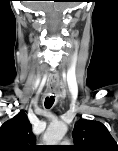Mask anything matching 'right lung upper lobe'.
<instances>
[{"label": "right lung upper lobe", "mask_w": 118, "mask_h": 151, "mask_svg": "<svg viewBox=\"0 0 118 151\" xmlns=\"http://www.w3.org/2000/svg\"><path fill=\"white\" fill-rule=\"evenodd\" d=\"M35 136L24 111L0 127V151L36 150Z\"/></svg>", "instance_id": "1"}]
</instances>
